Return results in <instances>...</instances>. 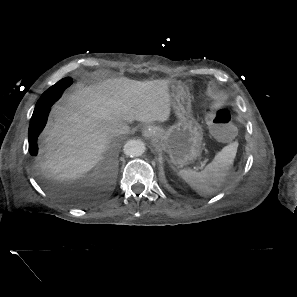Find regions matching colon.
Masks as SVG:
<instances>
[{
	"label": "colon",
	"mask_w": 297,
	"mask_h": 297,
	"mask_svg": "<svg viewBox=\"0 0 297 297\" xmlns=\"http://www.w3.org/2000/svg\"><path fill=\"white\" fill-rule=\"evenodd\" d=\"M210 129L215 137L221 140H229L235 133V127L231 123L230 112L225 108L207 112Z\"/></svg>",
	"instance_id": "5ec220e1"
}]
</instances>
